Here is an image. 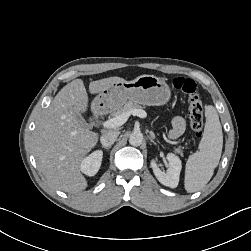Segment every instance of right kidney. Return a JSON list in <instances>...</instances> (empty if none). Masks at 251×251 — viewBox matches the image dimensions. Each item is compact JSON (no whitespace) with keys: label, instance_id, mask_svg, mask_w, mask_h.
Masks as SVG:
<instances>
[{"label":"right kidney","instance_id":"obj_1","mask_svg":"<svg viewBox=\"0 0 251 251\" xmlns=\"http://www.w3.org/2000/svg\"><path fill=\"white\" fill-rule=\"evenodd\" d=\"M102 158L103 152L101 150L94 151L82 160L80 170L88 176H94L101 166Z\"/></svg>","mask_w":251,"mask_h":251}]
</instances>
